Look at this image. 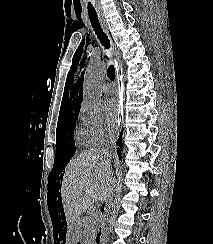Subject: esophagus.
<instances>
[{"label":"esophagus","instance_id":"34e87169","mask_svg":"<svg viewBox=\"0 0 213 244\" xmlns=\"http://www.w3.org/2000/svg\"><path fill=\"white\" fill-rule=\"evenodd\" d=\"M104 29L106 32H108V28L105 23H104ZM115 55H116L117 83H119L120 72L121 74L123 73V68H122V63L120 61V54L118 50H115Z\"/></svg>","mask_w":213,"mask_h":244}]
</instances>
